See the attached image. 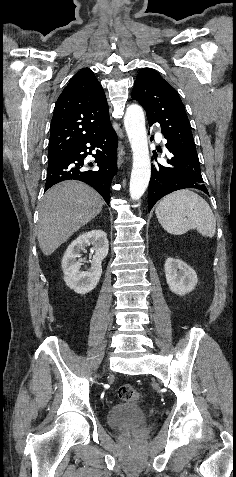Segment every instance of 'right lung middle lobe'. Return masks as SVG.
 Instances as JSON below:
<instances>
[{
  "label": "right lung middle lobe",
  "mask_w": 236,
  "mask_h": 477,
  "mask_svg": "<svg viewBox=\"0 0 236 477\" xmlns=\"http://www.w3.org/2000/svg\"><path fill=\"white\" fill-rule=\"evenodd\" d=\"M61 158L62 157H58V156H49V162L56 161V160H59Z\"/></svg>",
  "instance_id": "dd1d6c3e"
}]
</instances>
